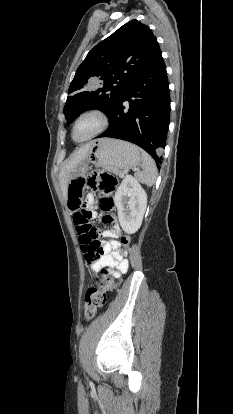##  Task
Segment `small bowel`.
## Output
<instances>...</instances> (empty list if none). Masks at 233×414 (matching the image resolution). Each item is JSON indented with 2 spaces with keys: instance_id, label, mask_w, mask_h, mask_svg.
I'll return each instance as SVG.
<instances>
[{
  "instance_id": "obj_1",
  "label": "small bowel",
  "mask_w": 233,
  "mask_h": 414,
  "mask_svg": "<svg viewBox=\"0 0 233 414\" xmlns=\"http://www.w3.org/2000/svg\"><path fill=\"white\" fill-rule=\"evenodd\" d=\"M94 202V196L89 195L86 200V207L91 211V217H94L95 215L93 210ZM103 222L109 226V228L103 232V236L110 240L103 244L104 253L95 262L91 263V267L93 271H96L101 267L109 266L111 275L117 278L125 274L129 267V262L126 256L120 257L118 255V252L120 251V242L118 241V238L121 236L122 232L113 215L103 216Z\"/></svg>"
}]
</instances>
